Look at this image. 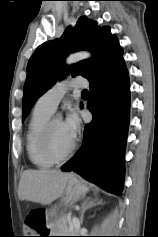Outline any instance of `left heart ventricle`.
Instances as JSON below:
<instances>
[{
	"mask_svg": "<svg viewBox=\"0 0 158 237\" xmlns=\"http://www.w3.org/2000/svg\"><path fill=\"white\" fill-rule=\"evenodd\" d=\"M73 141L67 136L63 129L62 122L55 120L51 130V146L53 151L61 156L72 146Z\"/></svg>",
	"mask_w": 158,
	"mask_h": 237,
	"instance_id": "obj_1",
	"label": "left heart ventricle"
}]
</instances>
